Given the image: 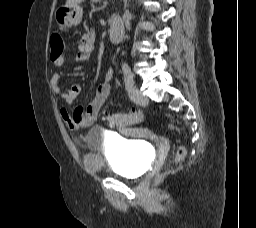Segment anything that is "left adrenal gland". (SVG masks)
Returning <instances> with one entry per match:
<instances>
[{
	"mask_svg": "<svg viewBox=\"0 0 256 228\" xmlns=\"http://www.w3.org/2000/svg\"><path fill=\"white\" fill-rule=\"evenodd\" d=\"M124 3H125V7H126V4H127V0H124Z\"/></svg>",
	"mask_w": 256,
	"mask_h": 228,
	"instance_id": "1",
	"label": "left adrenal gland"
}]
</instances>
